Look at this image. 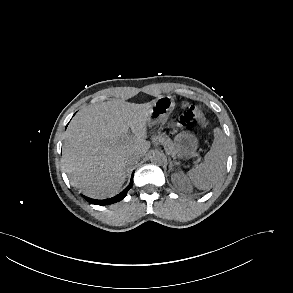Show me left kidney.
<instances>
[{
    "mask_svg": "<svg viewBox=\"0 0 293 293\" xmlns=\"http://www.w3.org/2000/svg\"><path fill=\"white\" fill-rule=\"evenodd\" d=\"M171 179L173 184L181 190H189L191 188L189 182L181 172L173 174Z\"/></svg>",
    "mask_w": 293,
    "mask_h": 293,
    "instance_id": "obj_1",
    "label": "left kidney"
}]
</instances>
